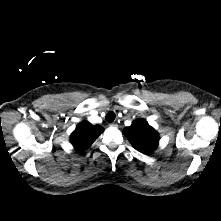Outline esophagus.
Here are the masks:
<instances>
[{"label":"esophagus","mask_w":221,"mask_h":221,"mask_svg":"<svg viewBox=\"0 0 221 221\" xmlns=\"http://www.w3.org/2000/svg\"><path fill=\"white\" fill-rule=\"evenodd\" d=\"M110 126H112V127H118V124H117L116 122H113V123L110 124Z\"/></svg>","instance_id":"34e87169"}]
</instances>
